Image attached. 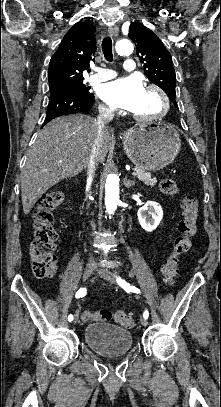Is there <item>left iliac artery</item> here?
Segmentation results:
<instances>
[{
	"mask_svg": "<svg viewBox=\"0 0 221 407\" xmlns=\"http://www.w3.org/2000/svg\"><path fill=\"white\" fill-rule=\"evenodd\" d=\"M118 284L126 291L128 292H135V293H140V290L136 287L130 286L129 283H127L125 280H122L120 277L117 279ZM149 313L147 310L143 313L144 318H148Z\"/></svg>",
	"mask_w": 221,
	"mask_h": 407,
	"instance_id": "obj_1",
	"label": "left iliac artery"
}]
</instances>
